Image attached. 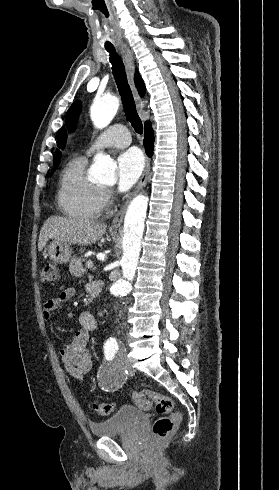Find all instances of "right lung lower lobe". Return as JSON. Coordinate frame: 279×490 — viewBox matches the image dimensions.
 <instances>
[{
	"instance_id": "right-lung-lower-lobe-1",
	"label": "right lung lower lobe",
	"mask_w": 279,
	"mask_h": 490,
	"mask_svg": "<svg viewBox=\"0 0 279 490\" xmlns=\"http://www.w3.org/2000/svg\"><path fill=\"white\" fill-rule=\"evenodd\" d=\"M145 137H144V147L148 156L153 153L154 147V132L152 130L151 124L144 127Z\"/></svg>"
}]
</instances>
